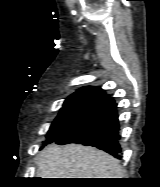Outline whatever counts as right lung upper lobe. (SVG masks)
Masks as SVG:
<instances>
[{
    "instance_id": "1",
    "label": "right lung upper lobe",
    "mask_w": 160,
    "mask_h": 187,
    "mask_svg": "<svg viewBox=\"0 0 160 187\" xmlns=\"http://www.w3.org/2000/svg\"><path fill=\"white\" fill-rule=\"evenodd\" d=\"M110 96L106 94L101 88L95 86L83 87L72 95H70L64 102L65 105L84 104L98 106Z\"/></svg>"
}]
</instances>
